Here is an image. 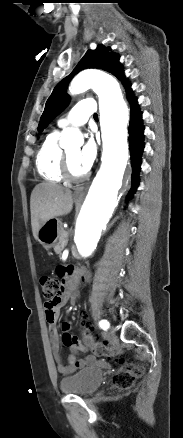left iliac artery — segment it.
Returning a JSON list of instances; mask_svg holds the SVG:
<instances>
[{"mask_svg": "<svg viewBox=\"0 0 183 438\" xmlns=\"http://www.w3.org/2000/svg\"><path fill=\"white\" fill-rule=\"evenodd\" d=\"M99 326L100 328H102L103 330H107L110 327V324L107 320H101L99 322Z\"/></svg>", "mask_w": 183, "mask_h": 438, "instance_id": "obj_1", "label": "left iliac artery"}]
</instances>
